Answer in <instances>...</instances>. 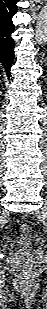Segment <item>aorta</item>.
Listing matches in <instances>:
<instances>
[{
    "label": "aorta",
    "mask_w": 47,
    "mask_h": 309,
    "mask_svg": "<svg viewBox=\"0 0 47 309\" xmlns=\"http://www.w3.org/2000/svg\"><path fill=\"white\" fill-rule=\"evenodd\" d=\"M35 40L38 45L47 43V11L43 9L38 17L35 27Z\"/></svg>",
    "instance_id": "obj_1"
}]
</instances>
